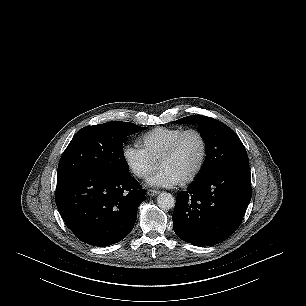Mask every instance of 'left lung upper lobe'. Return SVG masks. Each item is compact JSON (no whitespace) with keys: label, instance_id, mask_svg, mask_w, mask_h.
I'll return each mask as SVG.
<instances>
[{"label":"left lung upper lobe","instance_id":"5c2ea615","mask_svg":"<svg viewBox=\"0 0 306 306\" xmlns=\"http://www.w3.org/2000/svg\"><path fill=\"white\" fill-rule=\"evenodd\" d=\"M175 123L197 124L201 132L206 146V159L197 178L223 168L249 166L244 145L224 123L203 115L184 117Z\"/></svg>","mask_w":306,"mask_h":306}]
</instances>
